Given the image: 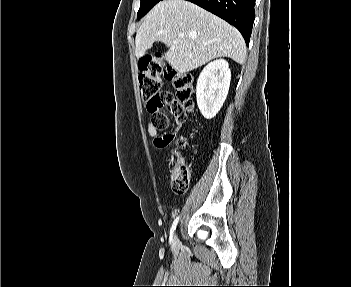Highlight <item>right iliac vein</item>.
I'll return each mask as SVG.
<instances>
[{
  "instance_id": "obj_1",
  "label": "right iliac vein",
  "mask_w": 351,
  "mask_h": 287,
  "mask_svg": "<svg viewBox=\"0 0 351 287\" xmlns=\"http://www.w3.org/2000/svg\"><path fill=\"white\" fill-rule=\"evenodd\" d=\"M179 239L177 236L174 237L173 242H172V247L175 249L179 246Z\"/></svg>"
}]
</instances>
